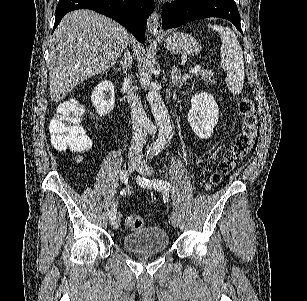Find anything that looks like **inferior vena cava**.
<instances>
[{"instance_id": "obj_1", "label": "inferior vena cava", "mask_w": 307, "mask_h": 301, "mask_svg": "<svg viewBox=\"0 0 307 301\" xmlns=\"http://www.w3.org/2000/svg\"><path fill=\"white\" fill-rule=\"evenodd\" d=\"M124 82L128 88L127 94L132 122V138L129 148V157H135V155L142 153L143 144L147 136L148 118L138 94L131 88L132 78L130 74H127Z\"/></svg>"}]
</instances>
